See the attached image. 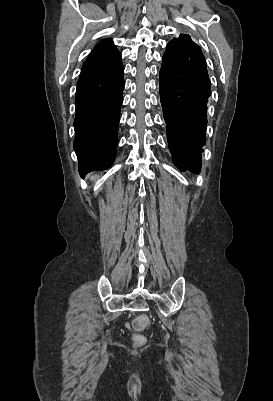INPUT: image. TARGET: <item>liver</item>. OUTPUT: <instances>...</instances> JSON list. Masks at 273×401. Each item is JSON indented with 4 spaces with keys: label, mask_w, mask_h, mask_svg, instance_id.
Returning <instances> with one entry per match:
<instances>
[{
    "label": "liver",
    "mask_w": 273,
    "mask_h": 401,
    "mask_svg": "<svg viewBox=\"0 0 273 401\" xmlns=\"http://www.w3.org/2000/svg\"><path fill=\"white\" fill-rule=\"evenodd\" d=\"M95 178H97V174H93V176H91V180H95Z\"/></svg>",
    "instance_id": "obj_1"
}]
</instances>
